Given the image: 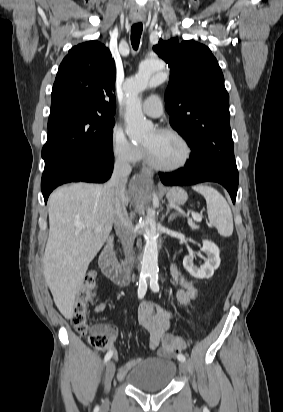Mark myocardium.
Segmentation results:
<instances>
[{"label": "myocardium", "instance_id": "1", "mask_svg": "<svg viewBox=\"0 0 283 412\" xmlns=\"http://www.w3.org/2000/svg\"><path fill=\"white\" fill-rule=\"evenodd\" d=\"M157 132L159 133H164V134H170L174 137H176L183 145L184 147V157L182 161L176 165L173 166H162L157 164L151 157L149 150L145 145H143V152H144V157L146 160V163L153 169L158 170V171H164V172H174L178 171L182 168H184L190 161L192 157V148L189 143V141L186 139V137L177 131L176 129L170 128V127H160L156 129Z\"/></svg>", "mask_w": 283, "mask_h": 412}]
</instances>
